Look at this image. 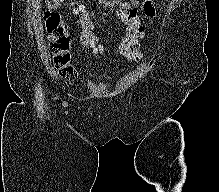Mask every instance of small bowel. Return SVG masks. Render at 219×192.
I'll return each mask as SVG.
<instances>
[{
	"mask_svg": "<svg viewBox=\"0 0 219 192\" xmlns=\"http://www.w3.org/2000/svg\"><path fill=\"white\" fill-rule=\"evenodd\" d=\"M53 6L58 7L61 0H52ZM111 11H116L126 26V35L136 34L138 38L143 33L141 19L138 11L141 10L145 15L152 17L155 15V5L153 0H112L106 2ZM73 13L79 16V25L81 28L80 41L83 46L89 47L95 52H99L101 47L98 44L97 37L93 28H86L85 23H91L88 18L86 7L81 3V0H76V5L73 8ZM92 24V23H91Z\"/></svg>",
	"mask_w": 219,
	"mask_h": 192,
	"instance_id": "small-bowel-1",
	"label": "small bowel"
}]
</instances>
